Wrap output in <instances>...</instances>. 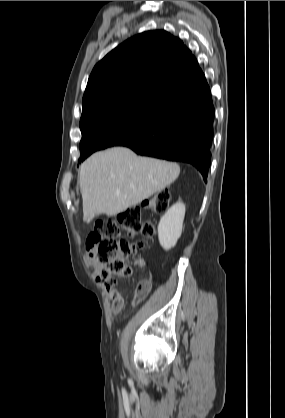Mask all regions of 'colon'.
Returning <instances> with one entry per match:
<instances>
[{
	"label": "colon",
	"mask_w": 285,
	"mask_h": 418,
	"mask_svg": "<svg viewBox=\"0 0 285 418\" xmlns=\"http://www.w3.org/2000/svg\"><path fill=\"white\" fill-rule=\"evenodd\" d=\"M169 192L161 190L148 199V203L135 206L120 213L117 220H98L87 235L85 243L86 258L89 262H99L100 272L96 283L101 287H111L118 284L120 278L132 273L129 258L144 248L143 243H131L123 238V234H142L151 238L154 227L144 223L142 217L147 213L162 214L168 206ZM150 290L147 282H139L134 299L143 301Z\"/></svg>",
	"instance_id": "1"
}]
</instances>
